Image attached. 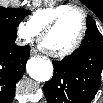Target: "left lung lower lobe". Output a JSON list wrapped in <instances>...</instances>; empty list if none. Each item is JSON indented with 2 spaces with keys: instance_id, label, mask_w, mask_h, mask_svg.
I'll return each mask as SVG.
<instances>
[{
  "instance_id": "0a47b994",
  "label": "left lung lower lobe",
  "mask_w": 103,
  "mask_h": 103,
  "mask_svg": "<svg viewBox=\"0 0 103 103\" xmlns=\"http://www.w3.org/2000/svg\"><path fill=\"white\" fill-rule=\"evenodd\" d=\"M54 76L44 85L48 103H90L101 85L103 37L97 26L87 27L72 55L53 61Z\"/></svg>"
}]
</instances>
